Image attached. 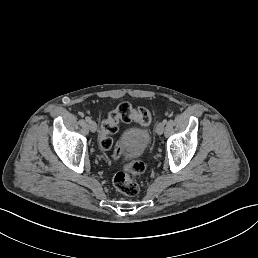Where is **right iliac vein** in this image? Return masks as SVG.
<instances>
[{"mask_svg": "<svg viewBox=\"0 0 258 258\" xmlns=\"http://www.w3.org/2000/svg\"><path fill=\"white\" fill-rule=\"evenodd\" d=\"M89 129L91 130V132H97L98 129V124L96 123L95 120H90L89 121Z\"/></svg>", "mask_w": 258, "mask_h": 258, "instance_id": "right-iliac-vein-1", "label": "right iliac vein"}]
</instances>
